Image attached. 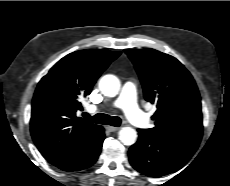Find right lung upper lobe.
<instances>
[{
	"mask_svg": "<svg viewBox=\"0 0 230 186\" xmlns=\"http://www.w3.org/2000/svg\"><path fill=\"white\" fill-rule=\"evenodd\" d=\"M121 53L80 50L58 61L39 82L32 101L31 135L41 154L59 166L73 158L101 129L76 117L80 98Z\"/></svg>",
	"mask_w": 230,
	"mask_h": 186,
	"instance_id": "right-lung-upper-lobe-1",
	"label": "right lung upper lobe"
}]
</instances>
